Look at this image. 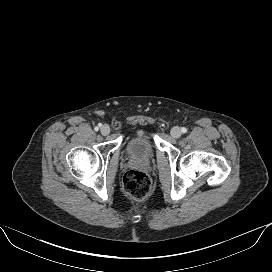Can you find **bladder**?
<instances>
[{
	"label": "bladder",
	"instance_id": "31cf9c89",
	"mask_svg": "<svg viewBox=\"0 0 272 272\" xmlns=\"http://www.w3.org/2000/svg\"><path fill=\"white\" fill-rule=\"evenodd\" d=\"M126 152L130 158L147 160L154 153V144L147 134H136L127 141Z\"/></svg>",
	"mask_w": 272,
	"mask_h": 272
}]
</instances>
